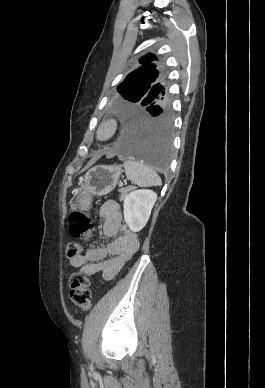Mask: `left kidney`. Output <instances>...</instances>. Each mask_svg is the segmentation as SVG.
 Masks as SVG:
<instances>
[{
	"instance_id": "1",
	"label": "left kidney",
	"mask_w": 265,
	"mask_h": 388,
	"mask_svg": "<svg viewBox=\"0 0 265 388\" xmlns=\"http://www.w3.org/2000/svg\"><path fill=\"white\" fill-rule=\"evenodd\" d=\"M157 200L152 190H134L124 200V220L132 232H140L146 226Z\"/></svg>"
}]
</instances>
